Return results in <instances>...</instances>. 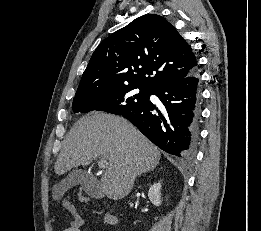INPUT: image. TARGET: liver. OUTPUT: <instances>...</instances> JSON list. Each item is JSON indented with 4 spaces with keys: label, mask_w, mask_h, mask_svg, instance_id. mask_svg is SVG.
<instances>
[{
    "label": "liver",
    "mask_w": 261,
    "mask_h": 231,
    "mask_svg": "<svg viewBox=\"0 0 261 231\" xmlns=\"http://www.w3.org/2000/svg\"><path fill=\"white\" fill-rule=\"evenodd\" d=\"M107 161L101 191L112 199L128 195L137 175L153 170L159 149L122 117L92 113L79 119L63 142L54 165L57 175L87 166L96 158Z\"/></svg>",
    "instance_id": "1"
}]
</instances>
